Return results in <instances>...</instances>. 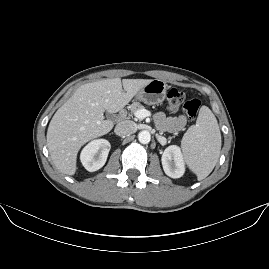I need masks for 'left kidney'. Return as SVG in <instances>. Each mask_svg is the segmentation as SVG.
Listing matches in <instances>:
<instances>
[{
  "mask_svg": "<svg viewBox=\"0 0 269 269\" xmlns=\"http://www.w3.org/2000/svg\"><path fill=\"white\" fill-rule=\"evenodd\" d=\"M162 166L166 175L171 178H180L185 172L181 150L176 145L168 146L162 155Z\"/></svg>",
  "mask_w": 269,
  "mask_h": 269,
  "instance_id": "5707ae66",
  "label": "left kidney"
}]
</instances>
